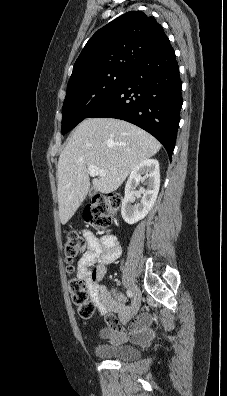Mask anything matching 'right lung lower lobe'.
Instances as JSON below:
<instances>
[{"label":"right lung lower lobe","mask_w":227,"mask_h":396,"mask_svg":"<svg viewBox=\"0 0 227 396\" xmlns=\"http://www.w3.org/2000/svg\"><path fill=\"white\" fill-rule=\"evenodd\" d=\"M181 87L178 63L169 43L134 66L123 85L87 118L133 123L157 138L171 159L183 103Z\"/></svg>","instance_id":"right-lung-lower-lobe-1"}]
</instances>
